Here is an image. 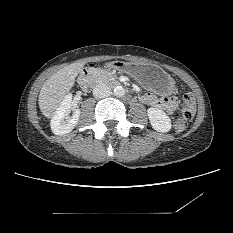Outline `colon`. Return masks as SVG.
Wrapping results in <instances>:
<instances>
[{
    "mask_svg": "<svg viewBox=\"0 0 233 233\" xmlns=\"http://www.w3.org/2000/svg\"><path fill=\"white\" fill-rule=\"evenodd\" d=\"M196 110V98L192 92L187 91L183 95L181 115L175 120L174 126L178 133L183 132L189 121L194 117Z\"/></svg>",
    "mask_w": 233,
    "mask_h": 233,
    "instance_id": "obj_1",
    "label": "colon"
}]
</instances>
